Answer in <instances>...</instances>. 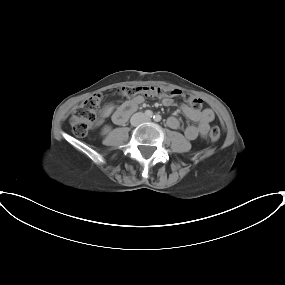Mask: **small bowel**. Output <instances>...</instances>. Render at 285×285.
Here are the masks:
<instances>
[{
	"instance_id": "1",
	"label": "small bowel",
	"mask_w": 285,
	"mask_h": 285,
	"mask_svg": "<svg viewBox=\"0 0 285 285\" xmlns=\"http://www.w3.org/2000/svg\"><path fill=\"white\" fill-rule=\"evenodd\" d=\"M143 101L144 97L142 95H137L126 103H132L137 107L142 104ZM162 103L165 106H170L173 104V100L171 98H163ZM180 110L187 118L196 122V125H189L185 128L184 135L187 139L194 140L199 136L207 134L210 123L214 120V112L211 109H194L187 105H182ZM167 124L172 129H178L180 127V122L176 117H169Z\"/></svg>"
}]
</instances>
